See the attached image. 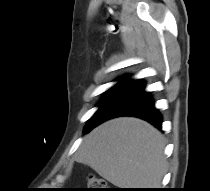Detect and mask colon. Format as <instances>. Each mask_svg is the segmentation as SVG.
Returning <instances> with one entry per match:
<instances>
[{
	"mask_svg": "<svg viewBox=\"0 0 210 191\" xmlns=\"http://www.w3.org/2000/svg\"><path fill=\"white\" fill-rule=\"evenodd\" d=\"M84 191H113L107 183L96 175H89L87 178V188Z\"/></svg>",
	"mask_w": 210,
	"mask_h": 191,
	"instance_id": "colon-1",
	"label": "colon"
}]
</instances>
